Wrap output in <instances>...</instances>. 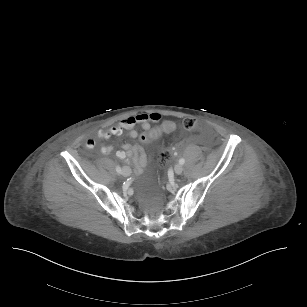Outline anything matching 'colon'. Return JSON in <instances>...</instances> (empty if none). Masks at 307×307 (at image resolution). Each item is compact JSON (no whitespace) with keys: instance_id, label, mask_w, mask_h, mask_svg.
I'll list each match as a JSON object with an SVG mask.
<instances>
[{"instance_id":"1","label":"colon","mask_w":307,"mask_h":307,"mask_svg":"<svg viewBox=\"0 0 307 307\" xmlns=\"http://www.w3.org/2000/svg\"><path fill=\"white\" fill-rule=\"evenodd\" d=\"M182 126L184 128V130L186 131H196V130H202L203 127H202V124L195 120V119H191V118H187V119H184L183 122H182ZM178 129V124L175 120L173 119H170V118H167L165 119L164 121V124L160 127L156 129H153L149 132H144L142 133L141 135V138L142 140L144 141H149V140H152L156 137L159 136H162L164 135L165 133H168V134H173L177 131ZM214 135V134H212ZM170 156V152L166 149H162L159 153V163L161 166H164L168 160Z\"/></svg>"}]
</instances>
